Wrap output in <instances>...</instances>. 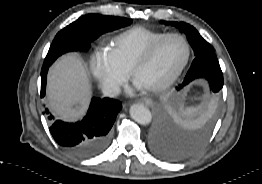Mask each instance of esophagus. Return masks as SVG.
<instances>
[{"instance_id": "1", "label": "esophagus", "mask_w": 262, "mask_h": 184, "mask_svg": "<svg viewBox=\"0 0 262 184\" xmlns=\"http://www.w3.org/2000/svg\"><path fill=\"white\" fill-rule=\"evenodd\" d=\"M140 103L146 105V106H152L153 105V100L150 98H142L139 100Z\"/></svg>"}]
</instances>
